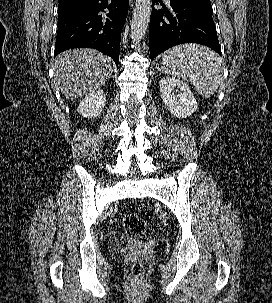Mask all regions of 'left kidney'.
I'll return each instance as SVG.
<instances>
[{"label":"left kidney","mask_w":272,"mask_h":303,"mask_svg":"<svg viewBox=\"0 0 272 303\" xmlns=\"http://www.w3.org/2000/svg\"><path fill=\"white\" fill-rule=\"evenodd\" d=\"M159 86L162 100L175 117L186 118L197 110L196 99L185 82L173 77H162Z\"/></svg>","instance_id":"obj_1"}]
</instances>
